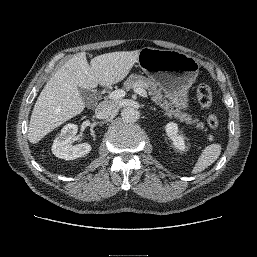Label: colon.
Listing matches in <instances>:
<instances>
[{
  "label": "colon",
  "instance_id": "1",
  "mask_svg": "<svg viewBox=\"0 0 257 257\" xmlns=\"http://www.w3.org/2000/svg\"><path fill=\"white\" fill-rule=\"evenodd\" d=\"M197 99L201 106L210 107L213 101L212 89L207 84H201L197 88ZM207 124L211 128H216L219 125V119L215 114H210L207 117Z\"/></svg>",
  "mask_w": 257,
  "mask_h": 257
}]
</instances>
